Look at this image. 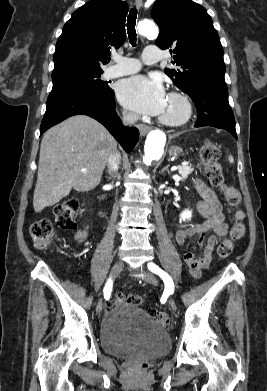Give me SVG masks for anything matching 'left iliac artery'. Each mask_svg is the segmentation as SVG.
Instances as JSON below:
<instances>
[{"label": "left iliac artery", "instance_id": "obj_1", "mask_svg": "<svg viewBox=\"0 0 267 391\" xmlns=\"http://www.w3.org/2000/svg\"><path fill=\"white\" fill-rule=\"evenodd\" d=\"M148 268L151 272L159 275L162 278L165 284L166 292L172 294L174 292V283L171 277L154 263H149Z\"/></svg>", "mask_w": 267, "mask_h": 391}]
</instances>
